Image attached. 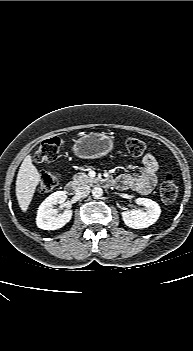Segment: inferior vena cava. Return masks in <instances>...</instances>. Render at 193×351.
<instances>
[{
  "label": "inferior vena cava",
  "instance_id": "obj_1",
  "mask_svg": "<svg viewBox=\"0 0 193 351\" xmlns=\"http://www.w3.org/2000/svg\"><path fill=\"white\" fill-rule=\"evenodd\" d=\"M89 193H90V186L87 184H81L76 189V194L81 197L87 196L89 195Z\"/></svg>",
  "mask_w": 193,
  "mask_h": 351
}]
</instances>
